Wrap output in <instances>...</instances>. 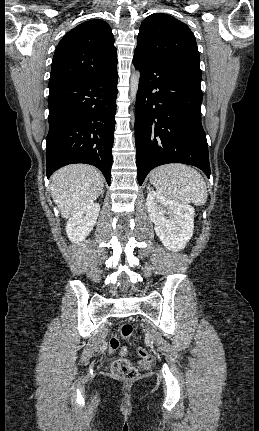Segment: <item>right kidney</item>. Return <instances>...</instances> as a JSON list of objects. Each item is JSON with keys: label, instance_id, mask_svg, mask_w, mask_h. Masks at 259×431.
Returning <instances> with one entry per match:
<instances>
[{"label": "right kidney", "instance_id": "right-kidney-1", "mask_svg": "<svg viewBox=\"0 0 259 431\" xmlns=\"http://www.w3.org/2000/svg\"><path fill=\"white\" fill-rule=\"evenodd\" d=\"M100 212L98 203H91L73 214L66 226V233L72 242L83 241L93 229Z\"/></svg>", "mask_w": 259, "mask_h": 431}]
</instances>
